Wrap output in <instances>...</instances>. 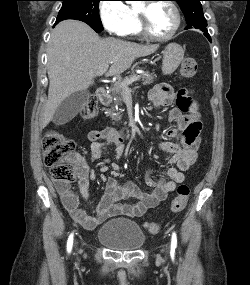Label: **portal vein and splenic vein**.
Segmentation results:
<instances>
[{
    "mask_svg": "<svg viewBox=\"0 0 250 285\" xmlns=\"http://www.w3.org/2000/svg\"><path fill=\"white\" fill-rule=\"evenodd\" d=\"M109 65H105L103 67L100 68V70L96 73L97 76L103 75L107 69H108ZM139 78L138 77H132L129 80H127L126 82L121 83V86L124 88L125 91H128V85L137 81Z\"/></svg>",
    "mask_w": 250,
    "mask_h": 285,
    "instance_id": "portal-vein-and-splenic-vein-1",
    "label": "portal vein and splenic vein"
}]
</instances>
